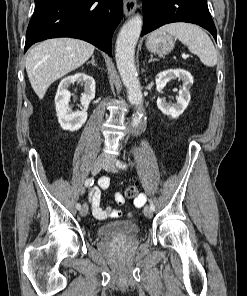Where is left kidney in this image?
Returning a JSON list of instances; mask_svg holds the SVG:
<instances>
[{"label": "left kidney", "mask_w": 247, "mask_h": 296, "mask_svg": "<svg viewBox=\"0 0 247 296\" xmlns=\"http://www.w3.org/2000/svg\"><path fill=\"white\" fill-rule=\"evenodd\" d=\"M175 78H179L183 81V87L179 91L177 103L169 104L163 98L157 99V106L161 110V112L173 118L179 117L189 104V101L191 99L189 89L193 84V77L188 71L183 69H168L159 73L155 79L156 89L160 92L167 84V82Z\"/></svg>", "instance_id": "left-kidney-1"}]
</instances>
